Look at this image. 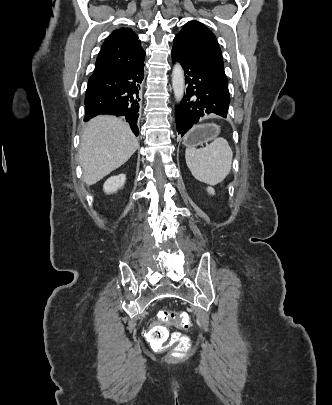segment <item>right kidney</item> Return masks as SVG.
Returning <instances> with one entry per match:
<instances>
[{"label":"right kidney","mask_w":332,"mask_h":405,"mask_svg":"<svg viewBox=\"0 0 332 405\" xmlns=\"http://www.w3.org/2000/svg\"><path fill=\"white\" fill-rule=\"evenodd\" d=\"M126 180L125 174H120L118 176H112L106 180L103 185V190L107 194L115 193L118 189L124 186Z\"/></svg>","instance_id":"ca27d5eb"}]
</instances>
